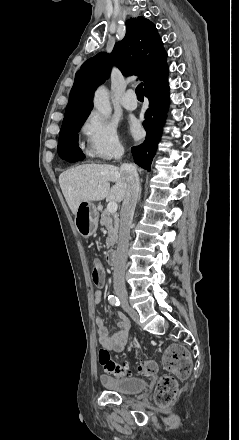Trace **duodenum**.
<instances>
[{
  "instance_id": "duodenum-1",
  "label": "duodenum",
  "mask_w": 239,
  "mask_h": 440,
  "mask_svg": "<svg viewBox=\"0 0 239 440\" xmlns=\"http://www.w3.org/2000/svg\"><path fill=\"white\" fill-rule=\"evenodd\" d=\"M107 262L110 266H115L117 263V252L115 250H110L107 253Z\"/></svg>"
}]
</instances>
